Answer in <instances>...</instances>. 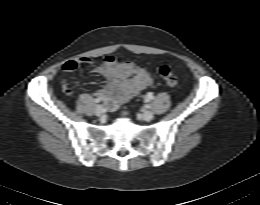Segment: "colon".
Listing matches in <instances>:
<instances>
[{
  "mask_svg": "<svg viewBox=\"0 0 260 205\" xmlns=\"http://www.w3.org/2000/svg\"><path fill=\"white\" fill-rule=\"evenodd\" d=\"M159 74L168 85L176 86L178 84L177 75L171 67L167 65L161 66L159 68Z\"/></svg>",
  "mask_w": 260,
  "mask_h": 205,
  "instance_id": "obj_1",
  "label": "colon"
}]
</instances>
